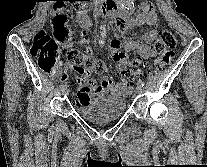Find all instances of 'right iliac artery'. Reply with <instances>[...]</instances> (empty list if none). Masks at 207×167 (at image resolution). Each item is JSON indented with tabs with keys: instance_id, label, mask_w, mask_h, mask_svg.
<instances>
[{
	"instance_id": "82829eb1",
	"label": "right iliac artery",
	"mask_w": 207,
	"mask_h": 167,
	"mask_svg": "<svg viewBox=\"0 0 207 167\" xmlns=\"http://www.w3.org/2000/svg\"><path fill=\"white\" fill-rule=\"evenodd\" d=\"M66 86H67V84H66V83H62V84L60 85V88L63 90V89H65V88H66Z\"/></svg>"
}]
</instances>
